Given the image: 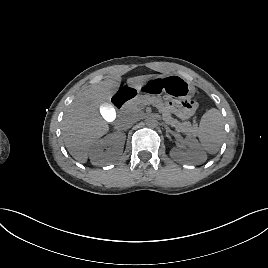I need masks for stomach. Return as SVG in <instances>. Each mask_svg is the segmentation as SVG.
Wrapping results in <instances>:
<instances>
[{
    "label": "stomach",
    "instance_id": "0dacf381",
    "mask_svg": "<svg viewBox=\"0 0 268 268\" xmlns=\"http://www.w3.org/2000/svg\"><path fill=\"white\" fill-rule=\"evenodd\" d=\"M137 93L159 94L167 92L178 99H190L195 93L192 83L180 75H155L142 83L131 86Z\"/></svg>",
    "mask_w": 268,
    "mask_h": 268
}]
</instances>
